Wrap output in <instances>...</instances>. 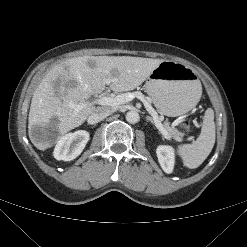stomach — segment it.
I'll return each instance as SVG.
<instances>
[{"label": "stomach", "instance_id": "0dacf381", "mask_svg": "<svg viewBox=\"0 0 247 247\" xmlns=\"http://www.w3.org/2000/svg\"><path fill=\"white\" fill-rule=\"evenodd\" d=\"M145 90L156 108L171 117L190 111L202 93L201 83L194 70L170 60L162 61L151 72Z\"/></svg>", "mask_w": 247, "mask_h": 247}]
</instances>
